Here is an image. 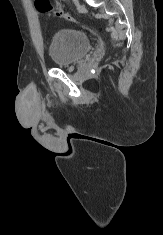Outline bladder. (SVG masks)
Instances as JSON below:
<instances>
[{"mask_svg":"<svg viewBox=\"0 0 163 235\" xmlns=\"http://www.w3.org/2000/svg\"><path fill=\"white\" fill-rule=\"evenodd\" d=\"M93 48L89 33L80 28L57 30L50 42L49 54L54 63L68 66L86 56Z\"/></svg>","mask_w":163,"mask_h":235,"instance_id":"31cf9c89","label":"bladder"}]
</instances>
